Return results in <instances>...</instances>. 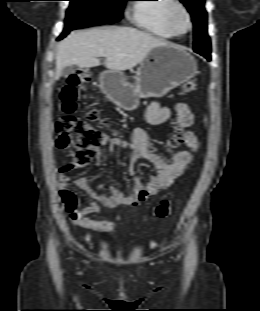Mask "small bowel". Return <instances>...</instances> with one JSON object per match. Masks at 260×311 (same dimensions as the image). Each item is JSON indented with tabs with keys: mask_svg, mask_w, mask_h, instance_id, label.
<instances>
[{
	"mask_svg": "<svg viewBox=\"0 0 260 311\" xmlns=\"http://www.w3.org/2000/svg\"><path fill=\"white\" fill-rule=\"evenodd\" d=\"M174 111L176 112L178 127L185 129L193 124L194 115L185 103H177ZM171 115L172 109L170 107L154 101L147 107L145 119L149 124L159 125L168 121ZM102 144L106 145L111 152L118 148L131 151L128 161V174L133 177L134 183L128 194L114 186L108 187V192H103L104 186L102 184L91 185L86 177H72L75 170L83 167L75 161L62 166L59 171V192L64 208L71 220L81 228L100 232H108L114 229L113 221H95L90 218L91 215L99 212L101 206L107 208L133 207L157 195L176 182L199 149V141L196 135L192 131H187L185 133V144L188 149L175 153L167 161L151 149L148 134L142 128L134 129L130 140L103 134ZM102 158L101 151H97L98 161ZM138 159L148 161L156 169V174L151 175L146 184H143L136 175L134 163ZM71 183L84 192L91 201L80 206L75 193L69 187Z\"/></svg>",
	"mask_w": 260,
	"mask_h": 311,
	"instance_id": "small-bowel-1",
	"label": "small bowel"
}]
</instances>
